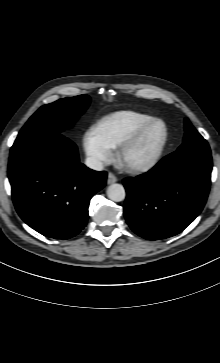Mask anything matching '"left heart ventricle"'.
<instances>
[{"label":"left heart ventricle","mask_w":220,"mask_h":363,"mask_svg":"<svg viewBox=\"0 0 220 363\" xmlns=\"http://www.w3.org/2000/svg\"><path fill=\"white\" fill-rule=\"evenodd\" d=\"M163 135L161 124L153 126L143 138L126 154L127 163H136L150 157Z\"/></svg>","instance_id":"left-heart-ventricle-1"}]
</instances>
